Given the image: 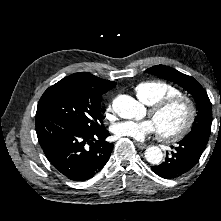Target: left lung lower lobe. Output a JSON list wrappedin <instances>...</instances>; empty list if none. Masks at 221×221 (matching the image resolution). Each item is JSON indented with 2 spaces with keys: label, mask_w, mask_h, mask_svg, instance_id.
I'll list each match as a JSON object with an SVG mask.
<instances>
[{
  "label": "left lung lower lobe",
  "mask_w": 221,
  "mask_h": 221,
  "mask_svg": "<svg viewBox=\"0 0 221 221\" xmlns=\"http://www.w3.org/2000/svg\"><path fill=\"white\" fill-rule=\"evenodd\" d=\"M210 131H198L188 134L175 147L165 161L152 166V171L165 179H173L189 172L198 162L208 142ZM173 148V147H172ZM168 155V153H167Z\"/></svg>",
  "instance_id": "0a47b994"
}]
</instances>
